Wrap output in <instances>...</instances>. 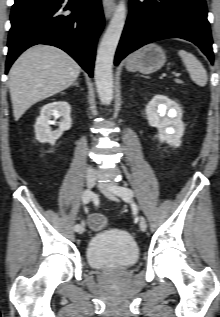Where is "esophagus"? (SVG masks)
Returning <instances> with one entry per match:
<instances>
[{"label": "esophagus", "instance_id": "obj_1", "mask_svg": "<svg viewBox=\"0 0 220 317\" xmlns=\"http://www.w3.org/2000/svg\"><path fill=\"white\" fill-rule=\"evenodd\" d=\"M103 9L107 19H109L114 10H115V3L113 0H103Z\"/></svg>", "mask_w": 220, "mask_h": 317}]
</instances>
